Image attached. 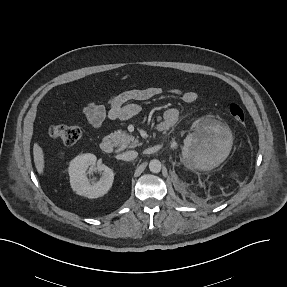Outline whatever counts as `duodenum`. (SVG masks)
Here are the masks:
<instances>
[{
  "instance_id": "1",
  "label": "duodenum",
  "mask_w": 287,
  "mask_h": 287,
  "mask_svg": "<svg viewBox=\"0 0 287 287\" xmlns=\"http://www.w3.org/2000/svg\"><path fill=\"white\" fill-rule=\"evenodd\" d=\"M158 130L163 131L162 127H159ZM100 148L102 152L107 153V154L113 152V149H114L113 139L110 137H105L100 144Z\"/></svg>"
}]
</instances>
